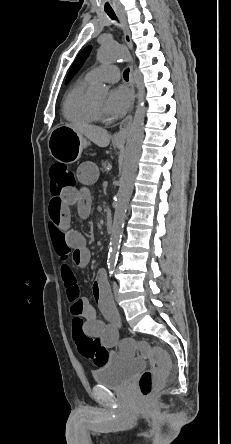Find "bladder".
<instances>
[{
    "label": "bladder",
    "instance_id": "1",
    "mask_svg": "<svg viewBox=\"0 0 231 444\" xmlns=\"http://www.w3.org/2000/svg\"><path fill=\"white\" fill-rule=\"evenodd\" d=\"M144 368V363L138 358L126 359L117 352L108 354L106 361L93 371L97 385L107 388H123Z\"/></svg>",
    "mask_w": 231,
    "mask_h": 444
}]
</instances>
